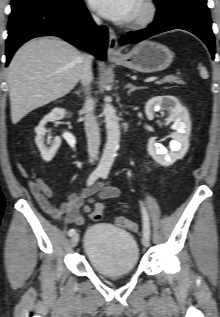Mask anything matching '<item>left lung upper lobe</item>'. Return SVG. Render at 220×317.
Returning <instances> with one entry per match:
<instances>
[{
	"label": "left lung upper lobe",
	"mask_w": 220,
	"mask_h": 317,
	"mask_svg": "<svg viewBox=\"0 0 220 317\" xmlns=\"http://www.w3.org/2000/svg\"><path fill=\"white\" fill-rule=\"evenodd\" d=\"M156 2L164 1V0H155Z\"/></svg>",
	"instance_id": "1"
}]
</instances>
